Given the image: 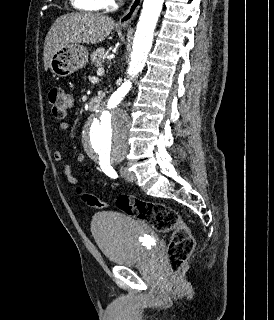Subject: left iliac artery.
Segmentation results:
<instances>
[{
  "label": "left iliac artery",
  "mask_w": 274,
  "mask_h": 320,
  "mask_svg": "<svg viewBox=\"0 0 274 320\" xmlns=\"http://www.w3.org/2000/svg\"><path fill=\"white\" fill-rule=\"evenodd\" d=\"M100 167L102 171L109 177L114 179L118 177L116 171L112 168L109 161H104V160L100 161Z\"/></svg>",
  "instance_id": "left-iliac-artery-1"
}]
</instances>
